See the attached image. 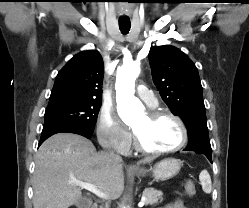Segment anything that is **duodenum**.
<instances>
[{
  "label": "duodenum",
  "mask_w": 249,
  "mask_h": 208,
  "mask_svg": "<svg viewBox=\"0 0 249 208\" xmlns=\"http://www.w3.org/2000/svg\"><path fill=\"white\" fill-rule=\"evenodd\" d=\"M89 208H98L97 204H92Z\"/></svg>",
  "instance_id": "410a0bca"
}]
</instances>
